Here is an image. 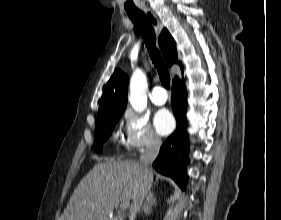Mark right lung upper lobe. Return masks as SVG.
Masks as SVG:
<instances>
[{
	"instance_id": "1",
	"label": "right lung upper lobe",
	"mask_w": 281,
	"mask_h": 220,
	"mask_svg": "<svg viewBox=\"0 0 281 220\" xmlns=\"http://www.w3.org/2000/svg\"><path fill=\"white\" fill-rule=\"evenodd\" d=\"M159 46L168 66L178 63L175 42L167 29L159 37ZM182 69V64L179 62ZM179 80L176 77L174 81ZM128 76L119 68L115 69L107 82L98 110L97 121L106 117L122 115L127 102Z\"/></svg>"
}]
</instances>
